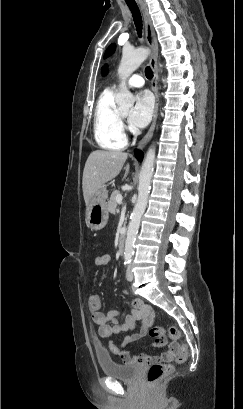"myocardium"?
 I'll list each match as a JSON object with an SVG mask.
<instances>
[{"instance_id": "1", "label": "myocardium", "mask_w": 243, "mask_h": 409, "mask_svg": "<svg viewBox=\"0 0 243 409\" xmlns=\"http://www.w3.org/2000/svg\"><path fill=\"white\" fill-rule=\"evenodd\" d=\"M118 116L120 119L124 117L120 112H118Z\"/></svg>"}]
</instances>
